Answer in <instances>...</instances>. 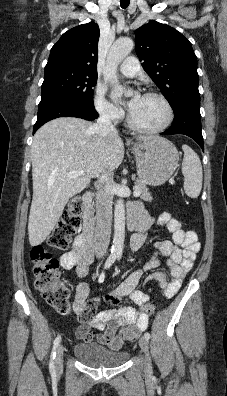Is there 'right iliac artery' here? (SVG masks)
Returning a JSON list of instances; mask_svg holds the SVG:
<instances>
[{
  "label": "right iliac artery",
  "instance_id": "1",
  "mask_svg": "<svg viewBox=\"0 0 227 396\" xmlns=\"http://www.w3.org/2000/svg\"><path fill=\"white\" fill-rule=\"evenodd\" d=\"M117 255L116 254H111L108 259L105 262L104 268L107 269L109 268L116 260ZM61 341V337L57 336L56 339L54 340L53 343V349L50 357V363H49V370L51 373L55 372V357H56V348L58 347L59 343Z\"/></svg>",
  "mask_w": 227,
  "mask_h": 396
}]
</instances>
